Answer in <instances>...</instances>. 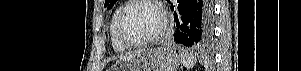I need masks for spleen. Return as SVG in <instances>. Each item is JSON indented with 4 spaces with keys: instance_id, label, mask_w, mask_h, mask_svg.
I'll list each match as a JSON object with an SVG mask.
<instances>
[{
    "instance_id": "obj_1",
    "label": "spleen",
    "mask_w": 301,
    "mask_h": 71,
    "mask_svg": "<svg viewBox=\"0 0 301 71\" xmlns=\"http://www.w3.org/2000/svg\"><path fill=\"white\" fill-rule=\"evenodd\" d=\"M181 63L187 68L190 69L195 66L197 60L194 55L188 52H181L180 53Z\"/></svg>"
}]
</instances>
